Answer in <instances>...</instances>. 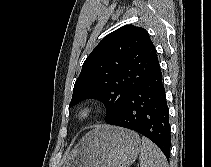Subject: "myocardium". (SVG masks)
<instances>
[{
	"mask_svg": "<svg viewBox=\"0 0 211 167\" xmlns=\"http://www.w3.org/2000/svg\"><path fill=\"white\" fill-rule=\"evenodd\" d=\"M95 112V109L91 105H83L76 112V118L79 121H85L90 118Z\"/></svg>",
	"mask_w": 211,
	"mask_h": 167,
	"instance_id": "1",
	"label": "myocardium"
}]
</instances>
